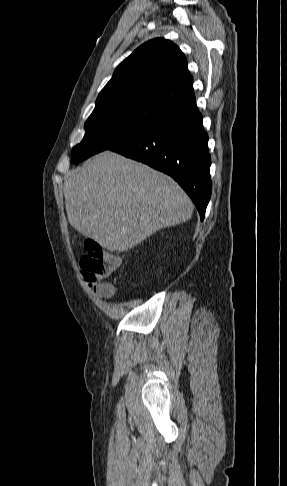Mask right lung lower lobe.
Listing matches in <instances>:
<instances>
[{"mask_svg": "<svg viewBox=\"0 0 287 486\" xmlns=\"http://www.w3.org/2000/svg\"><path fill=\"white\" fill-rule=\"evenodd\" d=\"M174 178L203 221L211 197L208 135L196 101L170 110L132 140L110 149Z\"/></svg>", "mask_w": 287, "mask_h": 486, "instance_id": "1", "label": "right lung lower lobe"}]
</instances>
